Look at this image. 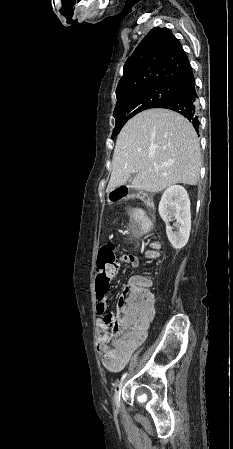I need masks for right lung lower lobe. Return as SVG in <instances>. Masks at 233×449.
I'll return each mask as SVG.
<instances>
[{
	"instance_id": "right-lung-lower-lobe-1",
	"label": "right lung lower lobe",
	"mask_w": 233,
	"mask_h": 449,
	"mask_svg": "<svg viewBox=\"0 0 233 449\" xmlns=\"http://www.w3.org/2000/svg\"><path fill=\"white\" fill-rule=\"evenodd\" d=\"M174 87L178 95L162 102L156 108H166L180 113L193 124L195 130L198 132V96L195 90V79L192 78Z\"/></svg>"
}]
</instances>
